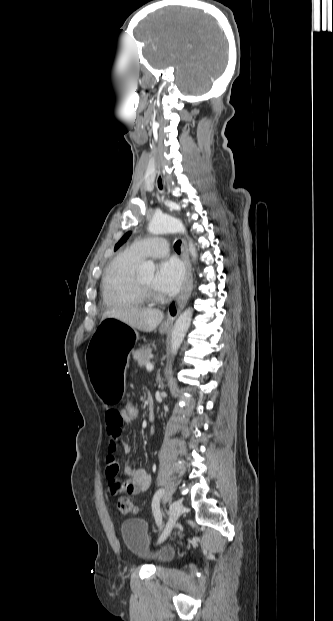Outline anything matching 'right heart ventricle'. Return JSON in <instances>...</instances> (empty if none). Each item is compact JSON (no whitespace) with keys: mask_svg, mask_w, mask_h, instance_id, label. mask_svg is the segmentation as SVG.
I'll return each mask as SVG.
<instances>
[{"mask_svg":"<svg viewBox=\"0 0 333 621\" xmlns=\"http://www.w3.org/2000/svg\"><path fill=\"white\" fill-rule=\"evenodd\" d=\"M139 262L126 251L110 263L102 282V296L108 306H138L146 302L135 285L134 269Z\"/></svg>","mask_w":333,"mask_h":621,"instance_id":"1","label":"right heart ventricle"}]
</instances>
